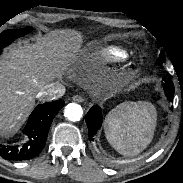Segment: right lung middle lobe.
I'll return each instance as SVG.
<instances>
[{
	"instance_id": "1",
	"label": "right lung middle lobe",
	"mask_w": 183,
	"mask_h": 183,
	"mask_svg": "<svg viewBox=\"0 0 183 183\" xmlns=\"http://www.w3.org/2000/svg\"><path fill=\"white\" fill-rule=\"evenodd\" d=\"M32 28H24V29H13V30H6L0 34V52L2 48L9 45L12 41L16 38L21 37L27 33H30Z\"/></svg>"
}]
</instances>
